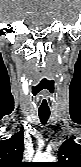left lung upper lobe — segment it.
Returning <instances> with one entry per match:
<instances>
[{"instance_id":"obj_1","label":"left lung upper lobe","mask_w":81,"mask_h":167,"mask_svg":"<svg viewBox=\"0 0 81 167\" xmlns=\"http://www.w3.org/2000/svg\"><path fill=\"white\" fill-rule=\"evenodd\" d=\"M58 160L53 167H81V145L72 139L66 140L59 148Z\"/></svg>"}]
</instances>
